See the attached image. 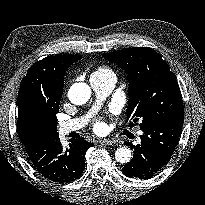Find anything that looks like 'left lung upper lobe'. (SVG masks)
<instances>
[{
	"label": "left lung upper lobe",
	"instance_id": "obj_1",
	"mask_svg": "<svg viewBox=\"0 0 205 205\" xmlns=\"http://www.w3.org/2000/svg\"><path fill=\"white\" fill-rule=\"evenodd\" d=\"M102 56L125 70L129 81L127 118L143 130L165 119L184 116L179 85L169 65L148 47L125 48Z\"/></svg>",
	"mask_w": 205,
	"mask_h": 205
}]
</instances>
